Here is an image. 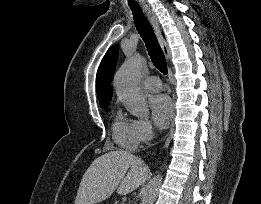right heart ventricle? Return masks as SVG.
Masks as SVG:
<instances>
[{"label": "right heart ventricle", "instance_id": "obj_1", "mask_svg": "<svg viewBox=\"0 0 261 204\" xmlns=\"http://www.w3.org/2000/svg\"><path fill=\"white\" fill-rule=\"evenodd\" d=\"M112 135L116 144L126 149H134L137 144L133 133V120L117 112L112 123Z\"/></svg>", "mask_w": 261, "mask_h": 204}]
</instances>
